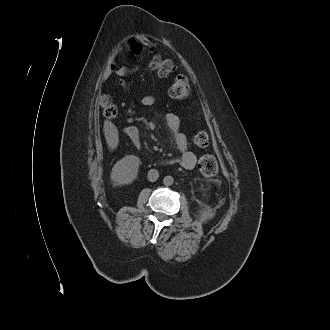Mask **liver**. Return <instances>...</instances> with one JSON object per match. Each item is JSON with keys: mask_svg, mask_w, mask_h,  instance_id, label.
<instances>
[{"mask_svg": "<svg viewBox=\"0 0 330 330\" xmlns=\"http://www.w3.org/2000/svg\"><path fill=\"white\" fill-rule=\"evenodd\" d=\"M104 134L110 149H115L119 142L117 127L110 121H104Z\"/></svg>", "mask_w": 330, "mask_h": 330, "instance_id": "liver-1", "label": "liver"}]
</instances>
